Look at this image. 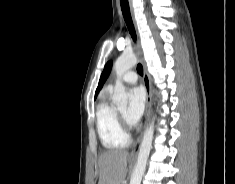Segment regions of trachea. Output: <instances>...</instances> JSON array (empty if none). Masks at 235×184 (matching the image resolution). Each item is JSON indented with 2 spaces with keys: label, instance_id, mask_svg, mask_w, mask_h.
<instances>
[{
  "label": "trachea",
  "instance_id": "trachea-1",
  "mask_svg": "<svg viewBox=\"0 0 235 184\" xmlns=\"http://www.w3.org/2000/svg\"><path fill=\"white\" fill-rule=\"evenodd\" d=\"M120 4H121V9H122V13H123V16H124V20L126 22L128 30H129V32L132 36V39L135 42L136 41V33H135L134 26H133L132 18H131V15H130L128 0H120ZM137 72H138L139 75H143V67H142L141 64H138Z\"/></svg>",
  "mask_w": 235,
  "mask_h": 184
}]
</instances>
